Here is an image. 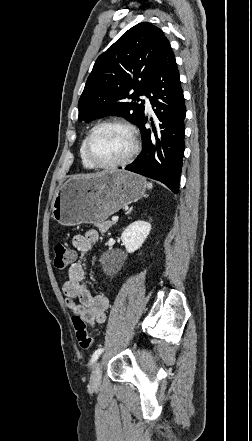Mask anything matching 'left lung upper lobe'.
Listing matches in <instances>:
<instances>
[{
    "label": "left lung upper lobe",
    "instance_id": "1",
    "mask_svg": "<svg viewBox=\"0 0 252 441\" xmlns=\"http://www.w3.org/2000/svg\"><path fill=\"white\" fill-rule=\"evenodd\" d=\"M166 41L162 30L147 22L126 31L97 58L78 102V120L115 115L139 126L145 115L138 97L146 95Z\"/></svg>",
    "mask_w": 252,
    "mask_h": 441
}]
</instances>
